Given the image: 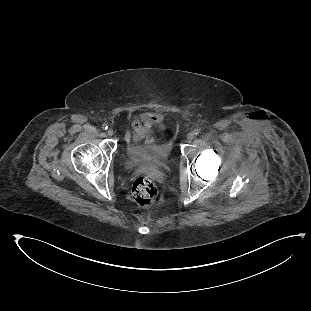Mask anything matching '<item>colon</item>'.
<instances>
[{"instance_id":"colon-1","label":"colon","mask_w":311,"mask_h":311,"mask_svg":"<svg viewBox=\"0 0 311 311\" xmlns=\"http://www.w3.org/2000/svg\"><path fill=\"white\" fill-rule=\"evenodd\" d=\"M158 191L155 184L147 177H138L132 185V198L142 209H148L155 204Z\"/></svg>"}]
</instances>
